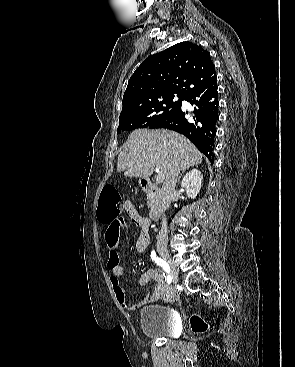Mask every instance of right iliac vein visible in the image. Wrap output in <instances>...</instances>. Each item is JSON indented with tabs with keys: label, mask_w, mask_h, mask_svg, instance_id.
Wrapping results in <instances>:
<instances>
[{
	"label": "right iliac vein",
	"mask_w": 295,
	"mask_h": 367,
	"mask_svg": "<svg viewBox=\"0 0 295 367\" xmlns=\"http://www.w3.org/2000/svg\"><path fill=\"white\" fill-rule=\"evenodd\" d=\"M159 254L164 259V261L169 265V267H170V275H171V277L173 279V282L175 284H177L178 281H179L178 271H177L174 263L172 262L168 251L166 249H164V248H159Z\"/></svg>",
	"instance_id": "obj_1"
}]
</instances>
